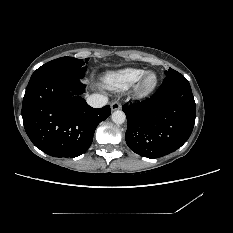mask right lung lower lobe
Instances as JSON below:
<instances>
[{"label": "right lung lower lobe", "mask_w": 233, "mask_h": 233, "mask_svg": "<svg viewBox=\"0 0 233 233\" xmlns=\"http://www.w3.org/2000/svg\"><path fill=\"white\" fill-rule=\"evenodd\" d=\"M73 90V93L69 92ZM80 79L64 73L30 79L22 117L32 143L54 157L74 158L91 145L98 124L109 117V105L95 109L82 98Z\"/></svg>", "instance_id": "98d812e1"}]
</instances>
